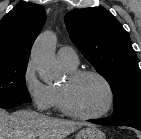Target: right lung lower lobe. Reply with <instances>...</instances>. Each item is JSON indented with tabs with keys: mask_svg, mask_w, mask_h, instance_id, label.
Instances as JSON below:
<instances>
[{
	"mask_svg": "<svg viewBox=\"0 0 141 139\" xmlns=\"http://www.w3.org/2000/svg\"><path fill=\"white\" fill-rule=\"evenodd\" d=\"M20 104H22V103H15V104H8V105H0V108L8 109V108L16 107V106H18Z\"/></svg>",
	"mask_w": 141,
	"mask_h": 139,
	"instance_id": "98d812e1",
	"label": "right lung lower lobe"
}]
</instances>
